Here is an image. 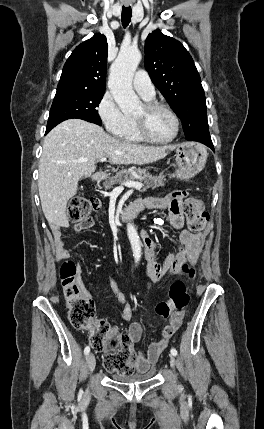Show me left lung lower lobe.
Masks as SVG:
<instances>
[{
    "label": "left lung lower lobe",
    "instance_id": "1",
    "mask_svg": "<svg viewBox=\"0 0 264 429\" xmlns=\"http://www.w3.org/2000/svg\"><path fill=\"white\" fill-rule=\"evenodd\" d=\"M195 141L205 144L206 146L210 147L214 151V146L211 141V138H202V139H197Z\"/></svg>",
    "mask_w": 264,
    "mask_h": 429
}]
</instances>
